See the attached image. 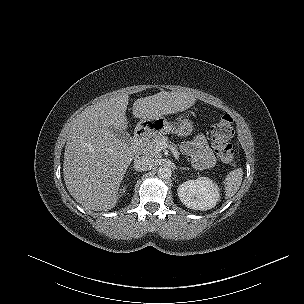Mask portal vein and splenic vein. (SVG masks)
<instances>
[{
  "label": "portal vein and splenic vein",
  "instance_id": "1",
  "mask_svg": "<svg viewBox=\"0 0 304 304\" xmlns=\"http://www.w3.org/2000/svg\"><path fill=\"white\" fill-rule=\"evenodd\" d=\"M168 147V145L166 144V142L160 141L156 144L155 148H154V152L158 153L163 149H166ZM173 154L175 157H178L179 153L176 150H172Z\"/></svg>",
  "mask_w": 304,
  "mask_h": 304
}]
</instances>
